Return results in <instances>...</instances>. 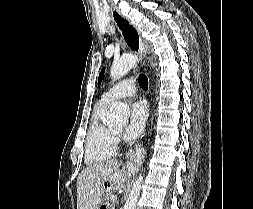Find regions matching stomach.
Here are the masks:
<instances>
[{"label":"stomach","mask_w":253,"mask_h":209,"mask_svg":"<svg viewBox=\"0 0 253 209\" xmlns=\"http://www.w3.org/2000/svg\"><path fill=\"white\" fill-rule=\"evenodd\" d=\"M101 186H103V191H100V201L97 202V209H111L112 202H110L109 196H111V187H113V182L101 181Z\"/></svg>","instance_id":"1"}]
</instances>
